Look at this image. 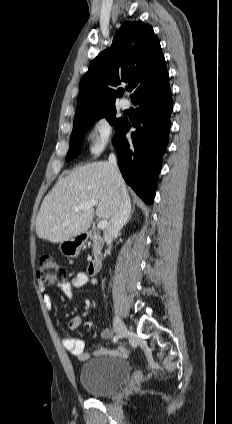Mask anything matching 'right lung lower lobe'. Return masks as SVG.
<instances>
[{"label": "right lung lower lobe", "instance_id": "obj_1", "mask_svg": "<svg viewBox=\"0 0 232 424\" xmlns=\"http://www.w3.org/2000/svg\"><path fill=\"white\" fill-rule=\"evenodd\" d=\"M132 102L139 105L132 124L136 131L128 140L126 133L131 124L125 120L113 137V145L125 181L147 204H152L170 130L172 95L168 72Z\"/></svg>", "mask_w": 232, "mask_h": 424}]
</instances>
